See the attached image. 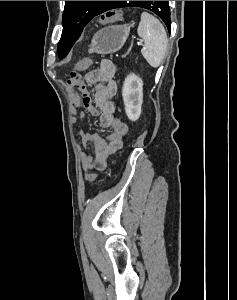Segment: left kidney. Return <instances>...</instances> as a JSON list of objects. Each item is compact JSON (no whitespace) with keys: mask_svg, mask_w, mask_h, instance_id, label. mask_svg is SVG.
<instances>
[{"mask_svg":"<svg viewBox=\"0 0 237 300\" xmlns=\"http://www.w3.org/2000/svg\"><path fill=\"white\" fill-rule=\"evenodd\" d=\"M122 97L125 113L130 121H137L141 115L143 103V81L134 73L127 75L123 87Z\"/></svg>","mask_w":237,"mask_h":300,"instance_id":"5707ae66","label":"left kidney"}]
</instances>
